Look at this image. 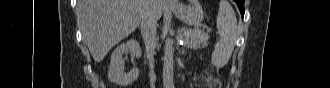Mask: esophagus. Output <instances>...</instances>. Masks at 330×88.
<instances>
[{
    "instance_id": "obj_1",
    "label": "esophagus",
    "mask_w": 330,
    "mask_h": 88,
    "mask_svg": "<svg viewBox=\"0 0 330 88\" xmlns=\"http://www.w3.org/2000/svg\"><path fill=\"white\" fill-rule=\"evenodd\" d=\"M166 4L168 5H176L177 1L176 0H166Z\"/></svg>"
}]
</instances>
